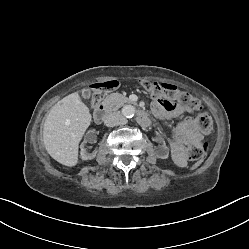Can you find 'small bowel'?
Wrapping results in <instances>:
<instances>
[{
    "label": "small bowel",
    "instance_id": "c3829d8e",
    "mask_svg": "<svg viewBox=\"0 0 249 249\" xmlns=\"http://www.w3.org/2000/svg\"><path fill=\"white\" fill-rule=\"evenodd\" d=\"M152 113L157 118H175L176 126L171 136V151L178 166H186L185 151L190 145H200L203 139L194 120L184 114L174 103L166 104L156 100L152 104Z\"/></svg>",
    "mask_w": 249,
    "mask_h": 249
}]
</instances>
